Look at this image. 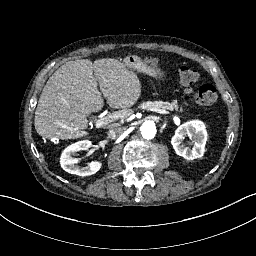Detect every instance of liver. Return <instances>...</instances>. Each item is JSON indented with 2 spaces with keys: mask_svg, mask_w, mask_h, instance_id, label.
I'll list each match as a JSON object with an SVG mask.
<instances>
[{
  "mask_svg": "<svg viewBox=\"0 0 256 256\" xmlns=\"http://www.w3.org/2000/svg\"><path fill=\"white\" fill-rule=\"evenodd\" d=\"M93 72L109 106L129 110L139 101L142 84L125 62L111 57L75 59L62 65L47 81L35 111L38 135L60 140L90 136L87 118L101 109V95ZM122 122L107 124V129Z\"/></svg>",
  "mask_w": 256,
  "mask_h": 256,
  "instance_id": "1",
  "label": "liver"
}]
</instances>
